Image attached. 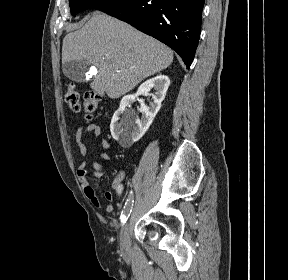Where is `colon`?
Instances as JSON below:
<instances>
[{
    "label": "colon",
    "mask_w": 288,
    "mask_h": 280,
    "mask_svg": "<svg viewBox=\"0 0 288 280\" xmlns=\"http://www.w3.org/2000/svg\"><path fill=\"white\" fill-rule=\"evenodd\" d=\"M65 100L73 112L78 113L83 108L86 116L91 118L100 103V96L95 92L89 91L84 95L83 102H81L79 91L73 86H69L65 95ZM121 188V181H115L113 184L114 191L119 193Z\"/></svg>",
    "instance_id": "obj_1"
}]
</instances>
